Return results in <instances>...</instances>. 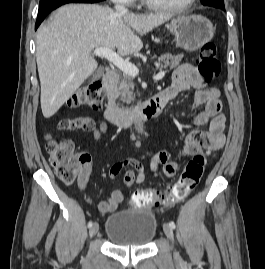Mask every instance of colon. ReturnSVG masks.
<instances>
[{"mask_svg":"<svg viewBox=\"0 0 265 269\" xmlns=\"http://www.w3.org/2000/svg\"><path fill=\"white\" fill-rule=\"evenodd\" d=\"M197 67L206 81H212L219 77L221 64L217 58L216 45L213 42H208L201 48ZM102 102L103 87L100 83L93 82L74 93L68 106L70 108L89 107L99 111L102 108ZM58 127L65 131H82L89 127V123L86 118L64 119ZM46 150L56 176L65 184L74 183L80 176L82 157L76 153L73 143L66 139H55L49 136ZM205 166L206 157L204 155L194 156L188 161L179 179L169 192L165 193L155 189L139 190L132 194L129 205L136 208L159 207L170 202L184 200L200 182Z\"/></svg>","mask_w":265,"mask_h":269,"instance_id":"1","label":"colon"}]
</instances>
